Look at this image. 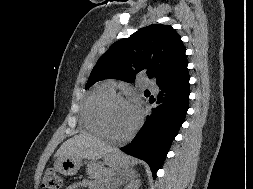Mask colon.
<instances>
[{"label":"colon","mask_w":253,"mask_h":189,"mask_svg":"<svg viewBox=\"0 0 253 189\" xmlns=\"http://www.w3.org/2000/svg\"><path fill=\"white\" fill-rule=\"evenodd\" d=\"M62 184V178L60 175L50 169L46 172L43 181H42V187L43 189H59Z\"/></svg>","instance_id":"colon-1"}]
</instances>
